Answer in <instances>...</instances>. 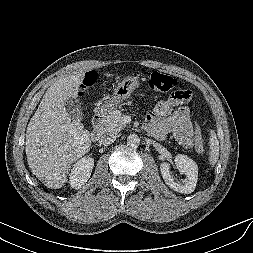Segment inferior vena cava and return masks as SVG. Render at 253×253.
Masks as SVG:
<instances>
[{
	"label": "inferior vena cava",
	"instance_id": "obj_1",
	"mask_svg": "<svg viewBox=\"0 0 253 253\" xmlns=\"http://www.w3.org/2000/svg\"><path fill=\"white\" fill-rule=\"evenodd\" d=\"M117 138L116 134H109L108 136L104 135L100 138L99 143L102 145H109L113 143Z\"/></svg>",
	"mask_w": 253,
	"mask_h": 253
}]
</instances>
